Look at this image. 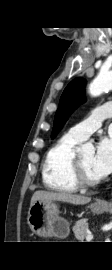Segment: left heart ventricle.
<instances>
[{
    "instance_id": "left-heart-ventricle-1",
    "label": "left heart ventricle",
    "mask_w": 112,
    "mask_h": 270,
    "mask_svg": "<svg viewBox=\"0 0 112 270\" xmlns=\"http://www.w3.org/2000/svg\"><path fill=\"white\" fill-rule=\"evenodd\" d=\"M93 153L80 154L79 160L85 176L90 180L100 179L93 170Z\"/></svg>"
}]
</instances>
